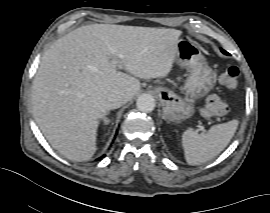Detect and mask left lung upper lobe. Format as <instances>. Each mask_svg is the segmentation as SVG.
Returning a JSON list of instances; mask_svg holds the SVG:
<instances>
[{"mask_svg": "<svg viewBox=\"0 0 270 213\" xmlns=\"http://www.w3.org/2000/svg\"><path fill=\"white\" fill-rule=\"evenodd\" d=\"M222 52H223L224 54H228L225 50H222Z\"/></svg>", "mask_w": 270, "mask_h": 213, "instance_id": "obj_1", "label": "left lung upper lobe"}]
</instances>
